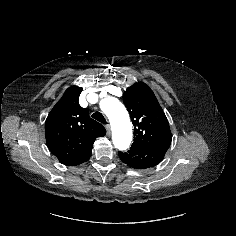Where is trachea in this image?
<instances>
[{
  "label": "trachea",
  "mask_w": 236,
  "mask_h": 236,
  "mask_svg": "<svg viewBox=\"0 0 236 236\" xmlns=\"http://www.w3.org/2000/svg\"><path fill=\"white\" fill-rule=\"evenodd\" d=\"M92 118L99 121L102 124H107L105 117L100 112L93 113Z\"/></svg>",
  "instance_id": "trachea-1"
}]
</instances>
